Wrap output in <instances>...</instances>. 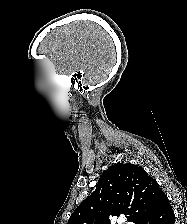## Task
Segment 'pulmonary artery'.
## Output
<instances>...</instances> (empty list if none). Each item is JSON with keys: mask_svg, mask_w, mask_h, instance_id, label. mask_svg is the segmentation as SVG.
<instances>
[{"mask_svg": "<svg viewBox=\"0 0 187 224\" xmlns=\"http://www.w3.org/2000/svg\"><path fill=\"white\" fill-rule=\"evenodd\" d=\"M126 224H133L132 222H126Z\"/></svg>", "mask_w": 187, "mask_h": 224, "instance_id": "pulmonary-artery-1", "label": "pulmonary artery"}]
</instances>
